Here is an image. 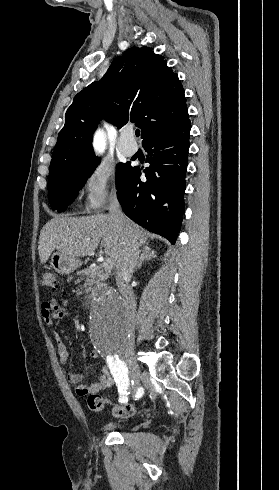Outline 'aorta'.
<instances>
[{
    "label": "aorta",
    "instance_id": "aorta-1",
    "mask_svg": "<svg viewBox=\"0 0 279 490\" xmlns=\"http://www.w3.org/2000/svg\"><path fill=\"white\" fill-rule=\"evenodd\" d=\"M93 146L97 152L105 150L106 138L103 131L98 130L95 133ZM89 333L95 346L106 354L130 340L131 332L124 306L115 292L102 290L92 298Z\"/></svg>",
    "mask_w": 279,
    "mask_h": 490
}]
</instances>
